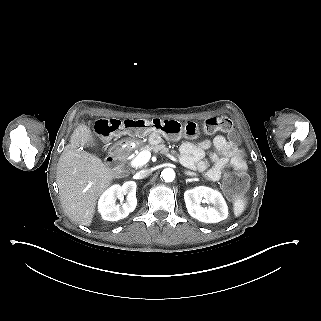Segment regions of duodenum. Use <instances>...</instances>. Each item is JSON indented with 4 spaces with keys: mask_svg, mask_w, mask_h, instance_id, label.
Returning <instances> with one entry per match:
<instances>
[{
    "mask_svg": "<svg viewBox=\"0 0 321 321\" xmlns=\"http://www.w3.org/2000/svg\"><path fill=\"white\" fill-rule=\"evenodd\" d=\"M124 155L125 149L122 146H114L107 157V165L111 168H120Z\"/></svg>",
    "mask_w": 321,
    "mask_h": 321,
    "instance_id": "410a0bca",
    "label": "duodenum"
}]
</instances>
